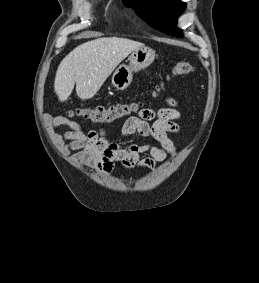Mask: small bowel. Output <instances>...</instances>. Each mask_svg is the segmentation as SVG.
<instances>
[{
  "label": "small bowel",
  "mask_w": 259,
  "mask_h": 283,
  "mask_svg": "<svg viewBox=\"0 0 259 283\" xmlns=\"http://www.w3.org/2000/svg\"><path fill=\"white\" fill-rule=\"evenodd\" d=\"M166 103L168 106L160 109H142L137 115L127 118L122 125L123 137L138 133L153 139L155 143L128 145L113 142L104 130L84 131L79 123L64 116L53 118L52 125L54 128L68 129L63 134H58V138L65 143V151L78 150L69 157L72 163L105 174L115 170V162H120L124 169L153 168L156 164L176 155L169 134L179 132L180 112L173 98L167 97ZM143 155L147 156L142 159Z\"/></svg>",
  "instance_id": "1"
}]
</instances>
